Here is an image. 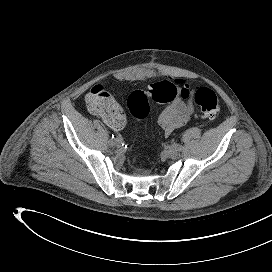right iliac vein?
<instances>
[{
    "mask_svg": "<svg viewBox=\"0 0 272 272\" xmlns=\"http://www.w3.org/2000/svg\"><path fill=\"white\" fill-rule=\"evenodd\" d=\"M109 144H110V145H115V146H118V147H119V146L122 144V142H118V141H117V142L114 143V142H112V141H109Z\"/></svg>",
    "mask_w": 272,
    "mask_h": 272,
    "instance_id": "obj_1",
    "label": "right iliac vein"
}]
</instances>
